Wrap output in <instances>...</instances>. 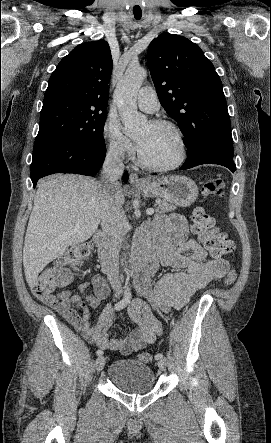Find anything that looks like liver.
Instances as JSON below:
<instances>
[{
  "instance_id": "1",
  "label": "liver",
  "mask_w": 271,
  "mask_h": 443,
  "mask_svg": "<svg viewBox=\"0 0 271 443\" xmlns=\"http://www.w3.org/2000/svg\"><path fill=\"white\" fill-rule=\"evenodd\" d=\"M97 182L88 176H48L38 182L34 208L29 218L23 247L26 281L34 285L47 263L62 255L69 245L82 243L111 214ZM116 206L125 218L123 190H118Z\"/></svg>"
}]
</instances>
